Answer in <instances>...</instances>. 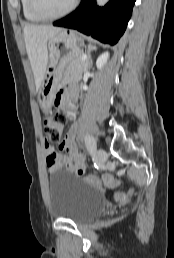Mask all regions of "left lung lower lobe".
Returning a JSON list of instances; mask_svg holds the SVG:
<instances>
[{"mask_svg":"<svg viewBox=\"0 0 174 258\" xmlns=\"http://www.w3.org/2000/svg\"><path fill=\"white\" fill-rule=\"evenodd\" d=\"M135 0H110L100 8L95 0H82L79 7L54 26L76 29L110 45L123 35Z\"/></svg>","mask_w":174,"mask_h":258,"instance_id":"1","label":"left lung lower lobe"}]
</instances>
